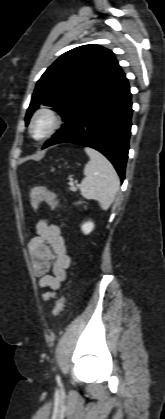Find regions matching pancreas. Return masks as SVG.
Returning a JSON list of instances; mask_svg holds the SVG:
<instances>
[{"mask_svg":"<svg viewBox=\"0 0 165 419\" xmlns=\"http://www.w3.org/2000/svg\"><path fill=\"white\" fill-rule=\"evenodd\" d=\"M70 190H71V191H76V187L71 186V187H70Z\"/></svg>","mask_w":165,"mask_h":419,"instance_id":"cf45deb5","label":"pancreas"}]
</instances>
